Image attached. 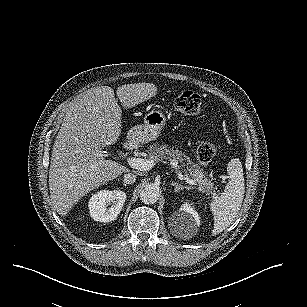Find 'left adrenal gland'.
I'll return each instance as SVG.
<instances>
[{
  "mask_svg": "<svg viewBox=\"0 0 307 307\" xmlns=\"http://www.w3.org/2000/svg\"><path fill=\"white\" fill-rule=\"evenodd\" d=\"M171 185L175 186V191H179V190H182L184 188H186V189L190 188L189 185H181L177 182H172Z\"/></svg>",
  "mask_w": 307,
  "mask_h": 307,
  "instance_id": "obj_1",
  "label": "left adrenal gland"
}]
</instances>
